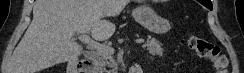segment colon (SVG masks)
<instances>
[{"instance_id":"colon-1","label":"colon","mask_w":244,"mask_h":73,"mask_svg":"<svg viewBox=\"0 0 244 73\" xmlns=\"http://www.w3.org/2000/svg\"><path fill=\"white\" fill-rule=\"evenodd\" d=\"M185 43L200 58L208 60L216 73H228V59L217 45L193 34L185 37Z\"/></svg>"}]
</instances>
